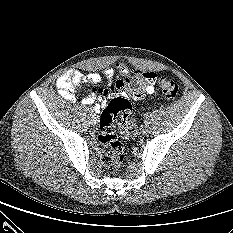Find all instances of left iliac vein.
<instances>
[{
	"mask_svg": "<svg viewBox=\"0 0 233 233\" xmlns=\"http://www.w3.org/2000/svg\"><path fill=\"white\" fill-rule=\"evenodd\" d=\"M149 130H150V123H149V121H145L144 124L142 125L143 134L148 133Z\"/></svg>",
	"mask_w": 233,
	"mask_h": 233,
	"instance_id": "obj_1",
	"label": "left iliac vein"
}]
</instances>
